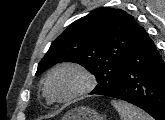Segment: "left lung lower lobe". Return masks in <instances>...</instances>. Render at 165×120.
<instances>
[{"label": "left lung lower lobe", "mask_w": 165, "mask_h": 120, "mask_svg": "<svg viewBox=\"0 0 165 120\" xmlns=\"http://www.w3.org/2000/svg\"><path fill=\"white\" fill-rule=\"evenodd\" d=\"M106 96L132 103L165 120V64L145 32L128 54L120 85Z\"/></svg>", "instance_id": "obj_1"}]
</instances>
